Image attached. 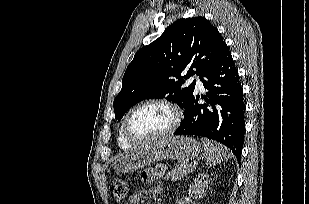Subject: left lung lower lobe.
<instances>
[{
	"label": "left lung lower lobe",
	"mask_w": 309,
	"mask_h": 204,
	"mask_svg": "<svg viewBox=\"0 0 309 204\" xmlns=\"http://www.w3.org/2000/svg\"><path fill=\"white\" fill-rule=\"evenodd\" d=\"M207 104H198L193 96L184 110V120L175 135H198L230 148L240 162L244 140L245 103L238 71L226 47L218 60L201 76Z\"/></svg>",
	"instance_id": "obj_1"
}]
</instances>
